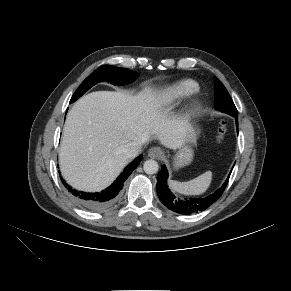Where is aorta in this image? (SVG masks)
<instances>
[{"label": "aorta", "mask_w": 291, "mask_h": 291, "mask_svg": "<svg viewBox=\"0 0 291 291\" xmlns=\"http://www.w3.org/2000/svg\"><path fill=\"white\" fill-rule=\"evenodd\" d=\"M143 169L147 174H155L158 172L159 165L155 160L149 159L144 162Z\"/></svg>", "instance_id": "762f6f07"}]
</instances>
